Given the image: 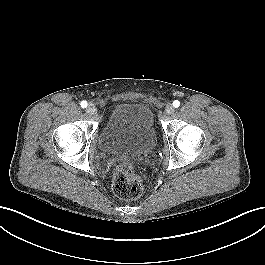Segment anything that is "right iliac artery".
Segmentation results:
<instances>
[{"label":"right iliac artery","mask_w":265,"mask_h":265,"mask_svg":"<svg viewBox=\"0 0 265 265\" xmlns=\"http://www.w3.org/2000/svg\"><path fill=\"white\" fill-rule=\"evenodd\" d=\"M80 105H81L82 108H86L88 104H87L86 101H82V102L80 103Z\"/></svg>","instance_id":"82829eb1"}]
</instances>
